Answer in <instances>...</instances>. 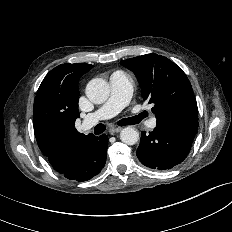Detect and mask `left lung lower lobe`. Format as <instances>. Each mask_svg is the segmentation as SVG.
I'll return each instance as SVG.
<instances>
[{
  "mask_svg": "<svg viewBox=\"0 0 232 232\" xmlns=\"http://www.w3.org/2000/svg\"><path fill=\"white\" fill-rule=\"evenodd\" d=\"M198 129V121L166 119L157 121L152 132L141 133L137 149L139 161L155 170H168L189 154Z\"/></svg>",
  "mask_w": 232,
  "mask_h": 232,
  "instance_id": "obj_1",
  "label": "left lung lower lobe"
}]
</instances>
